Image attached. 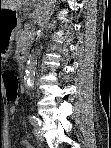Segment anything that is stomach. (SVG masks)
Returning <instances> with one entry per match:
<instances>
[{"label": "stomach", "instance_id": "stomach-1", "mask_svg": "<svg viewBox=\"0 0 111 148\" xmlns=\"http://www.w3.org/2000/svg\"><path fill=\"white\" fill-rule=\"evenodd\" d=\"M20 25L18 9H0V57H5L10 51L14 35Z\"/></svg>", "mask_w": 111, "mask_h": 148}]
</instances>
